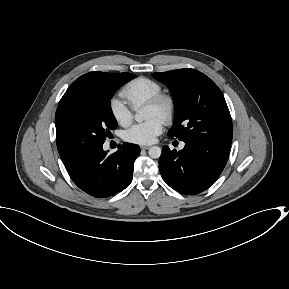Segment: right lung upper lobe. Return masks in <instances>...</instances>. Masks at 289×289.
Here are the masks:
<instances>
[{"mask_svg": "<svg viewBox=\"0 0 289 289\" xmlns=\"http://www.w3.org/2000/svg\"><path fill=\"white\" fill-rule=\"evenodd\" d=\"M107 72H89L76 79L67 89L60 102L85 95L91 88L104 82L110 77Z\"/></svg>", "mask_w": 289, "mask_h": 289, "instance_id": "right-lung-upper-lobe-1", "label": "right lung upper lobe"}]
</instances>
